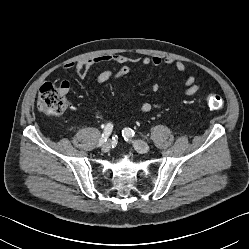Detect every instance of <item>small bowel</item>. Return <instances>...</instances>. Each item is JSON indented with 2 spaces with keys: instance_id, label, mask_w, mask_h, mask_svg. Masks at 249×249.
I'll return each mask as SVG.
<instances>
[{
  "instance_id": "1",
  "label": "small bowel",
  "mask_w": 249,
  "mask_h": 249,
  "mask_svg": "<svg viewBox=\"0 0 249 249\" xmlns=\"http://www.w3.org/2000/svg\"><path fill=\"white\" fill-rule=\"evenodd\" d=\"M110 62L118 63L120 68L117 70L105 69L101 71L96 76L97 83H105L109 80L126 76L132 71L133 65H139L142 67H160L162 65L173 66L177 73L181 75H184L187 71L185 63L180 60L161 58L159 56H127L118 53H106L95 57L81 59L76 62H69L64 65V69L74 70L79 77L84 78L94 66L103 65ZM60 88L64 94H67L70 89V83L64 80L61 82ZM200 89L201 85L197 83V78L193 74L187 76L182 84V94L186 97L195 95L200 91ZM151 90L152 92L157 93L160 90V85L158 83H154L151 86ZM161 107L162 104L160 102L151 101L140 104L138 109L141 112L147 113Z\"/></svg>"
}]
</instances>
